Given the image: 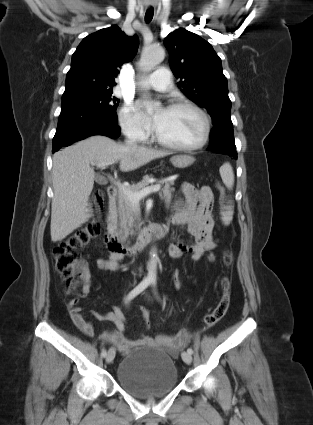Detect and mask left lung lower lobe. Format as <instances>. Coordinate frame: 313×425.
<instances>
[{
    "label": "left lung lower lobe",
    "instance_id": "0a47b994",
    "mask_svg": "<svg viewBox=\"0 0 313 425\" xmlns=\"http://www.w3.org/2000/svg\"><path fill=\"white\" fill-rule=\"evenodd\" d=\"M211 141L208 150L215 153L232 155L237 159V152L232 126L214 127L211 131Z\"/></svg>",
    "mask_w": 313,
    "mask_h": 425
}]
</instances>
